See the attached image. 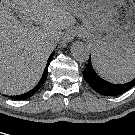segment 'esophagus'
Instances as JSON below:
<instances>
[{
    "mask_svg": "<svg viewBox=\"0 0 135 135\" xmlns=\"http://www.w3.org/2000/svg\"><path fill=\"white\" fill-rule=\"evenodd\" d=\"M77 34L78 32L75 28L68 29L63 35L62 46L65 47L67 43L72 41L77 36Z\"/></svg>",
    "mask_w": 135,
    "mask_h": 135,
    "instance_id": "esophagus-1",
    "label": "esophagus"
}]
</instances>
